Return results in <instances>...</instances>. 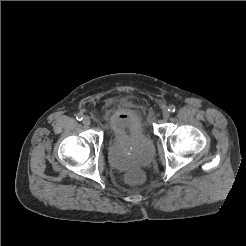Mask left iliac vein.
<instances>
[{
  "instance_id": "1",
  "label": "left iliac vein",
  "mask_w": 246,
  "mask_h": 246,
  "mask_svg": "<svg viewBox=\"0 0 246 246\" xmlns=\"http://www.w3.org/2000/svg\"><path fill=\"white\" fill-rule=\"evenodd\" d=\"M162 116H163V118H165V119L169 118V116H170V111H169L167 108H165V109L163 110V112H162Z\"/></svg>"
}]
</instances>
